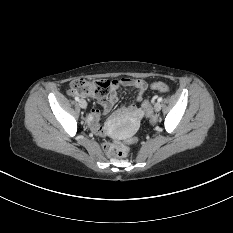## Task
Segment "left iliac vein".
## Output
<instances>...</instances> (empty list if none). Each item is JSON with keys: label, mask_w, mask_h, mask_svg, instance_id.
I'll list each match as a JSON object with an SVG mask.
<instances>
[{"label": "left iliac vein", "mask_w": 233, "mask_h": 233, "mask_svg": "<svg viewBox=\"0 0 233 233\" xmlns=\"http://www.w3.org/2000/svg\"><path fill=\"white\" fill-rule=\"evenodd\" d=\"M154 110L156 112H159L161 110V103L160 102H156L154 105Z\"/></svg>", "instance_id": "4c4485c4"}]
</instances>
